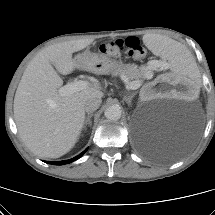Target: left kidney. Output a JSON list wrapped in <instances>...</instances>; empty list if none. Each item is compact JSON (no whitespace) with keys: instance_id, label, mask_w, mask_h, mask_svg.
Listing matches in <instances>:
<instances>
[{"instance_id":"obj_1","label":"left kidney","mask_w":215,"mask_h":215,"mask_svg":"<svg viewBox=\"0 0 215 215\" xmlns=\"http://www.w3.org/2000/svg\"><path fill=\"white\" fill-rule=\"evenodd\" d=\"M147 98L165 97L177 101H195L199 97L197 87L192 82H187L174 76L172 73L164 72L157 82H151L143 89Z\"/></svg>"}]
</instances>
